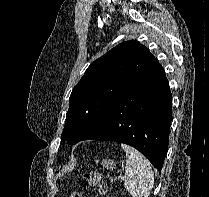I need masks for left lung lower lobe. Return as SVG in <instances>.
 <instances>
[{"mask_svg":"<svg viewBox=\"0 0 209 197\" xmlns=\"http://www.w3.org/2000/svg\"><path fill=\"white\" fill-rule=\"evenodd\" d=\"M172 94L156 61L145 76L123 93L81 140L115 141L139 150L161 171L168 150Z\"/></svg>","mask_w":209,"mask_h":197,"instance_id":"obj_1","label":"left lung lower lobe"}]
</instances>
